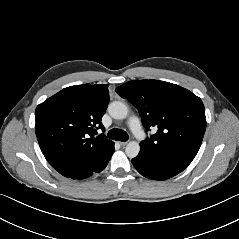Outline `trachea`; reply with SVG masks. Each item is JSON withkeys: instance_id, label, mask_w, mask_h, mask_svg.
Instances as JSON below:
<instances>
[{"instance_id": "trachea-1", "label": "trachea", "mask_w": 239, "mask_h": 239, "mask_svg": "<svg viewBox=\"0 0 239 239\" xmlns=\"http://www.w3.org/2000/svg\"><path fill=\"white\" fill-rule=\"evenodd\" d=\"M108 138L112 139V140H118V141H127L129 139L128 134L121 130V129H117V128H113L111 129L108 134H107Z\"/></svg>"}]
</instances>
